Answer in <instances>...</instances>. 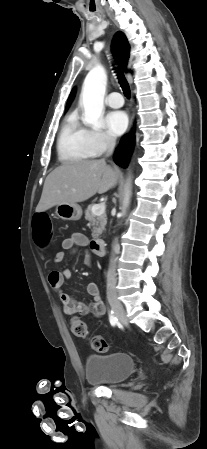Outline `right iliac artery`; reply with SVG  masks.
Wrapping results in <instances>:
<instances>
[{"label":"right iliac artery","mask_w":207,"mask_h":449,"mask_svg":"<svg viewBox=\"0 0 207 449\" xmlns=\"http://www.w3.org/2000/svg\"><path fill=\"white\" fill-rule=\"evenodd\" d=\"M109 320L112 326H115L118 323L117 317L114 315L113 311H109Z\"/></svg>","instance_id":"obj_1"}]
</instances>
